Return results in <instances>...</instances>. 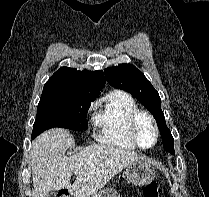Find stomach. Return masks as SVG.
Returning a JSON list of instances; mask_svg holds the SVG:
<instances>
[{
    "label": "stomach",
    "instance_id": "stomach-1",
    "mask_svg": "<svg viewBox=\"0 0 209 197\" xmlns=\"http://www.w3.org/2000/svg\"><path fill=\"white\" fill-rule=\"evenodd\" d=\"M126 175L128 181L134 186H144L152 182L155 178V169L150 162L142 159L138 160L127 167ZM90 197H120L119 194L111 189L106 188L99 190Z\"/></svg>",
    "mask_w": 209,
    "mask_h": 197
}]
</instances>
